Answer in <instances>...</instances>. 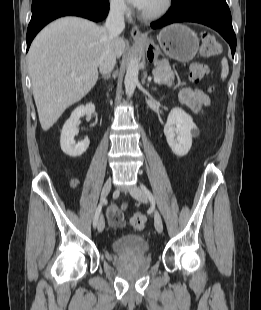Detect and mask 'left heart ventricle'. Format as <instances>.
<instances>
[{
	"mask_svg": "<svg viewBox=\"0 0 261 310\" xmlns=\"http://www.w3.org/2000/svg\"><path fill=\"white\" fill-rule=\"evenodd\" d=\"M162 0H148L144 8L142 9L143 12H151L157 9Z\"/></svg>",
	"mask_w": 261,
	"mask_h": 310,
	"instance_id": "1",
	"label": "left heart ventricle"
}]
</instances>
